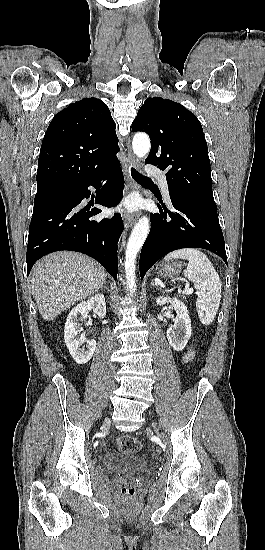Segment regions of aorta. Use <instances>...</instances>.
Instances as JSON below:
<instances>
[{
    "label": "aorta",
    "mask_w": 265,
    "mask_h": 550,
    "mask_svg": "<svg viewBox=\"0 0 265 550\" xmlns=\"http://www.w3.org/2000/svg\"><path fill=\"white\" fill-rule=\"evenodd\" d=\"M132 147L139 158L145 157L150 151L149 137L146 134H136L133 138ZM149 229V219L146 216L141 217L135 224L127 243L124 266L128 288L132 295L136 292L135 260L148 236Z\"/></svg>",
    "instance_id": "1"
}]
</instances>
